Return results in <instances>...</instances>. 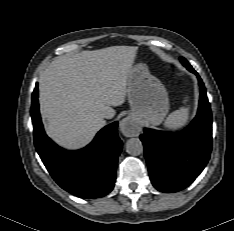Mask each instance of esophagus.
<instances>
[{
    "label": "esophagus",
    "instance_id": "obj_1",
    "mask_svg": "<svg viewBox=\"0 0 234 231\" xmlns=\"http://www.w3.org/2000/svg\"><path fill=\"white\" fill-rule=\"evenodd\" d=\"M126 124L128 125V124H129V121H127Z\"/></svg>",
    "mask_w": 234,
    "mask_h": 231
}]
</instances>
